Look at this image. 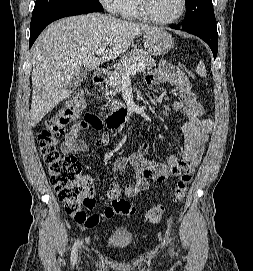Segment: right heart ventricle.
Here are the masks:
<instances>
[{"label":"right heart ventricle","mask_w":253,"mask_h":271,"mask_svg":"<svg viewBox=\"0 0 253 271\" xmlns=\"http://www.w3.org/2000/svg\"><path fill=\"white\" fill-rule=\"evenodd\" d=\"M120 13L128 19H138L141 17L136 0H125Z\"/></svg>","instance_id":"right-heart-ventricle-1"}]
</instances>
